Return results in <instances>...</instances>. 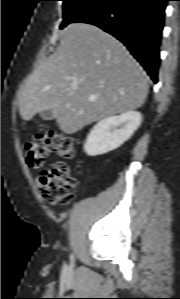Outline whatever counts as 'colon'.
Returning a JSON list of instances; mask_svg holds the SVG:
<instances>
[{
  "instance_id": "colon-1",
  "label": "colon",
  "mask_w": 180,
  "mask_h": 299,
  "mask_svg": "<svg viewBox=\"0 0 180 299\" xmlns=\"http://www.w3.org/2000/svg\"><path fill=\"white\" fill-rule=\"evenodd\" d=\"M74 152V141L70 136L48 130L27 145L26 163L30 167L39 168L50 153L70 159ZM40 184L43 199L51 205H61L71 201L76 179L66 163L57 162L50 169L42 171Z\"/></svg>"
}]
</instances>
